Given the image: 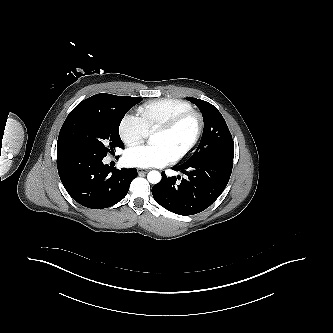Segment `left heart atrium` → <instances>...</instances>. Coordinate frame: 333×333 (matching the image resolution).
I'll return each instance as SVG.
<instances>
[{
	"label": "left heart atrium",
	"mask_w": 333,
	"mask_h": 333,
	"mask_svg": "<svg viewBox=\"0 0 333 333\" xmlns=\"http://www.w3.org/2000/svg\"><path fill=\"white\" fill-rule=\"evenodd\" d=\"M124 160L129 166L148 168L165 166L172 157L163 145H140L128 149Z\"/></svg>",
	"instance_id": "left-heart-atrium-1"
}]
</instances>
